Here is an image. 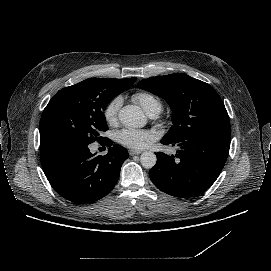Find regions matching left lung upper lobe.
Returning <instances> with one entry per match:
<instances>
[{
    "instance_id": "1",
    "label": "left lung upper lobe",
    "mask_w": 271,
    "mask_h": 271,
    "mask_svg": "<svg viewBox=\"0 0 271 271\" xmlns=\"http://www.w3.org/2000/svg\"><path fill=\"white\" fill-rule=\"evenodd\" d=\"M138 87L164 98L174 112L173 126L162 139L180 142L203 132L231 135L224 103L209 84L177 73L143 79Z\"/></svg>"
}]
</instances>
